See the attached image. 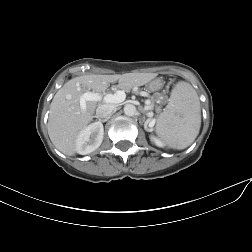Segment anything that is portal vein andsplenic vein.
<instances>
[{
    "label": "portal vein and splenic vein",
    "instance_id": "1",
    "mask_svg": "<svg viewBox=\"0 0 252 252\" xmlns=\"http://www.w3.org/2000/svg\"><path fill=\"white\" fill-rule=\"evenodd\" d=\"M125 98H126V94L124 91H121V90L117 91L114 94H106L105 96H102L100 93H97V92L87 91L80 98V107L82 110H84L86 108V101L99 102L103 100L106 103H120L124 101ZM146 104L148 105L147 102ZM150 108H151L150 106H147L145 109L149 110ZM149 116H152V115L149 114Z\"/></svg>",
    "mask_w": 252,
    "mask_h": 252
}]
</instances>
